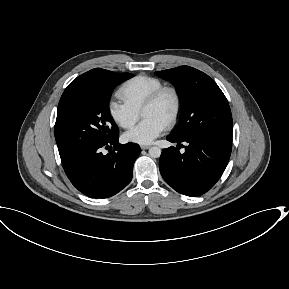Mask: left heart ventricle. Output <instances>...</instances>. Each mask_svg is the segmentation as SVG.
I'll list each match as a JSON object with an SVG mask.
<instances>
[{"label": "left heart ventricle", "mask_w": 289, "mask_h": 289, "mask_svg": "<svg viewBox=\"0 0 289 289\" xmlns=\"http://www.w3.org/2000/svg\"><path fill=\"white\" fill-rule=\"evenodd\" d=\"M174 107V99L170 93L164 94L153 106L144 109L141 113L143 118L153 117L166 124Z\"/></svg>", "instance_id": "left-heart-ventricle-1"}]
</instances>
